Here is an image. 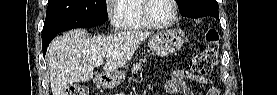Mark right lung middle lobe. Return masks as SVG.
I'll use <instances>...</instances> for the list:
<instances>
[{
	"mask_svg": "<svg viewBox=\"0 0 277 95\" xmlns=\"http://www.w3.org/2000/svg\"><path fill=\"white\" fill-rule=\"evenodd\" d=\"M107 17L105 0H49L42 37L73 28L98 26Z\"/></svg>",
	"mask_w": 277,
	"mask_h": 95,
	"instance_id": "1",
	"label": "right lung middle lobe"
}]
</instances>
